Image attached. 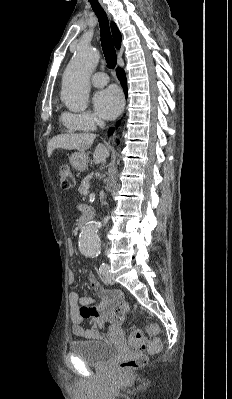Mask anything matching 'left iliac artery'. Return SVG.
<instances>
[{"label": "left iliac artery", "instance_id": "left-iliac-artery-1", "mask_svg": "<svg viewBox=\"0 0 232 399\" xmlns=\"http://www.w3.org/2000/svg\"><path fill=\"white\" fill-rule=\"evenodd\" d=\"M99 270L102 275H107L110 273V267L107 263H102Z\"/></svg>", "mask_w": 232, "mask_h": 399}]
</instances>
